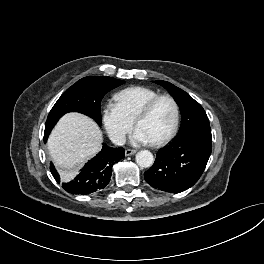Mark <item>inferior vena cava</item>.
I'll return each instance as SVG.
<instances>
[{
    "label": "inferior vena cava",
    "mask_w": 264,
    "mask_h": 264,
    "mask_svg": "<svg viewBox=\"0 0 264 264\" xmlns=\"http://www.w3.org/2000/svg\"><path fill=\"white\" fill-rule=\"evenodd\" d=\"M110 139L115 145L122 146L126 143L125 135H123L121 133H116V134L112 135L110 137Z\"/></svg>",
    "instance_id": "obj_1"
}]
</instances>
